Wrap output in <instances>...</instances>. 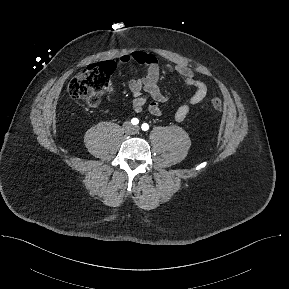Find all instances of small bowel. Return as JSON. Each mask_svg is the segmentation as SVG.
<instances>
[{
	"mask_svg": "<svg viewBox=\"0 0 289 289\" xmlns=\"http://www.w3.org/2000/svg\"><path fill=\"white\" fill-rule=\"evenodd\" d=\"M119 63L121 65L136 63L147 68L143 77L128 81V88L134 98L132 107L136 114L147 109L153 116L162 115L161 105L169 101V92L160 85L166 75L179 79L184 85L194 88V93L188 101L176 109L174 118L177 122L185 120L192 107L201 103L207 95V85L196 79L192 69L187 66L162 64L155 55L143 51L124 54L119 58ZM148 96L152 99L149 103Z\"/></svg>",
	"mask_w": 289,
	"mask_h": 289,
	"instance_id": "obj_1",
	"label": "small bowel"
}]
</instances>
